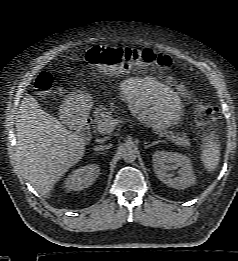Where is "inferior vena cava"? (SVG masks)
I'll return each instance as SVG.
<instances>
[{"mask_svg":"<svg viewBox=\"0 0 238 261\" xmlns=\"http://www.w3.org/2000/svg\"><path fill=\"white\" fill-rule=\"evenodd\" d=\"M109 147H110V146H106V145H105V146H102V145H100V146H96V147H95V150H96V151L105 150V149H108Z\"/></svg>","mask_w":238,"mask_h":261,"instance_id":"602c4592","label":"inferior vena cava"}]
</instances>
